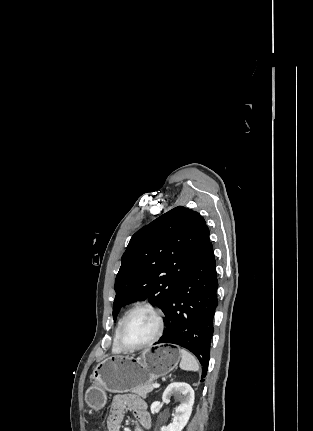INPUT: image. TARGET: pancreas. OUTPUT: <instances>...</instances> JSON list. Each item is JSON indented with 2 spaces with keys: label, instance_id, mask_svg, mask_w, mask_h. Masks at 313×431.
<instances>
[{
  "label": "pancreas",
  "instance_id": "obj_1",
  "mask_svg": "<svg viewBox=\"0 0 313 431\" xmlns=\"http://www.w3.org/2000/svg\"><path fill=\"white\" fill-rule=\"evenodd\" d=\"M153 390L151 383L144 384L142 386L136 387L132 390V392L138 394L142 398H146L147 394Z\"/></svg>",
  "mask_w": 313,
  "mask_h": 431
}]
</instances>
